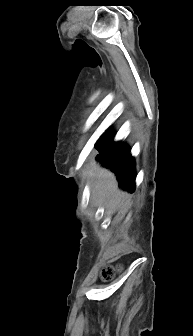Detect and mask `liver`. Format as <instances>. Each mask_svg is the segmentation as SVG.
<instances>
[{"label":"liver","instance_id":"obj_1","mask_svg":"<svg viewBox=\"0 0 193 336\" xmlns=\"http://www.w3.org/2000/svg\"><path fill=\"white\" fill-rule=\"evenodd\" d=\"M87 173L93 176L92 197L97 203L105 202L108 208H121L127 201L125 194L118 190L114 175L91 161Z\"/></svg>","mask_w":193,"mask_h":336}]
</instances>
